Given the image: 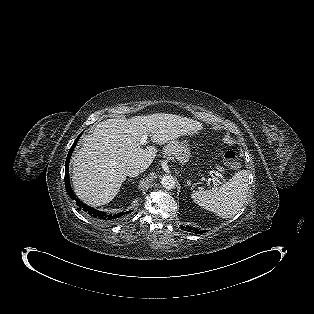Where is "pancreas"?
Here are the masks:
<instances>
[{"label": "pancreas", "mask_w": 314, "mask_h": 314, "mask_svg": "<svg viewBox=\"0 0 314 314\" xmlns=\"http://www.w3.org/2000/svg\"><path fill=\"white\" fill-rule=\"evenodd\" d=\"M218 170L221 172L224 171V169L222 167H218Z\"/></svg>", "instance_id": "1"}]
</instances>
